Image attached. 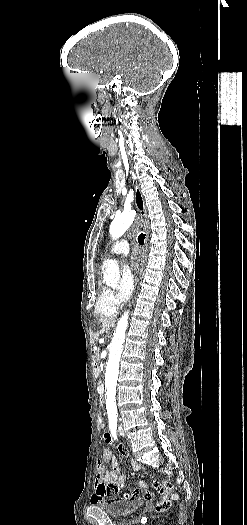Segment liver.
I'll return each mask as SVG.
<instances>
[{
  "label": "liver",
  "instance_id": "obj_1",
  "mask_svg": "<svg viewBox=\"0 0 247 525\" xmlns=\"http://www.w3.org/2000/svg\"><path fill=\"white\" fill-rule=\"evenodd\" d=\"M115 321H103L102 333H108L114 327Z\"/></svg>",
  "mask_w": 247,
  "mask_h": 525
}]
</instances>
